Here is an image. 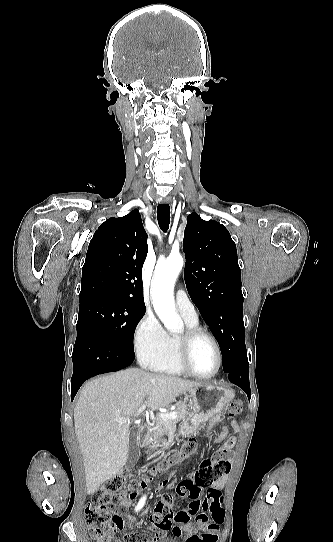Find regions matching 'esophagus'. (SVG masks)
I'll return each mask as SVG.
<instances>
[{
    "mask_svg": "<svg viewBox=\"0 0 333 542\" xmlns=\"http://www.w3.org/2000/svg\"><path fill=\"white\" fill-rule=\"evenodd\" d=\"M163 202L167 203V204L170 203L171 202V197H164Z\"/></svg>",
    "mask_w": 333,
    "mask_h": 542,
    "instance_id": "34e87169",
    "label": "esophagus"
}]
</instances>
